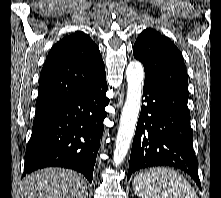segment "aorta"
Wrapping results in <instances>:
<instances>
[{
    "instance_id": "1",
    "label": "aorta",
    "mask_w": 221,
    "mask_h": 198,
    "mask_svg": "<svg viewBox=\"0 0 221 198\" xmlns=\"http://www.w3.org/2000/svg\"><path fill=\"white\" fill-rule=\"evenodd\" d=\"M126 78L127 96L120 118L116 147L113 152V162L116 167L124 161L135 132L141 107L142 86L144 81L142 64L138 61L130 62L126 69Z\"/></svg>"
}]
</instances>
